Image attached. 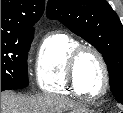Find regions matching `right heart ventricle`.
Returning a JSON list of instances; mask_svg holds the SVG:
<instances>
[{
  "instance_id": "e07e8e85",
  "label": "right heart ventricle",
  "mask_w": 123,
  "mask_h": 113,
  "mask_svg": "<svg viewBox=\"0 0 123 113\" xmlns=\"http://www.w3.org/2000/svg\"><path fill=\"white\" fill-rule=\"evenodd\" d=\"M79 42L67 33L54 31L42 40L36 57L38 87L48 93L80 95L71 85L67 63Z\"/></svg>"
}]
</instances>
